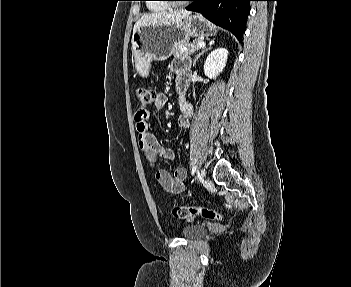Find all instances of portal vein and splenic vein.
I'll return each instance as SVG.
<instances>
[{"instance_id": "1", "label": "portal vein and splenic vein", "mask_w": 351, "mask_h": 287, "mask_svg": "<svg viewBox=\"0 0 351 287\" xmlns=\"http://www.w3.org/2000/svg\"><path fill=\"white\" fill-rule=\"evenodd\" d=\"M199 47H204L205 43L203 41L198 42Z\"/></svg>"}]
</instances>
